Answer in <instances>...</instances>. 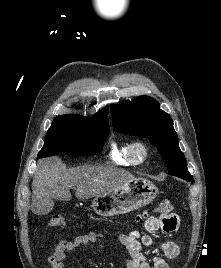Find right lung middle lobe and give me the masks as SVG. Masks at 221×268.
Here are the masks:
<instances>
[{
    "mask_svg": "<svg viewBox=\"0 0 221 268\" xmlns=\"http://www.w3.org/2000/svg\"><path fill=\"white\" fill-rule=\"evenodd\" d=\"M109 133V126L85 120L57 116L45 136L39 158L67 152L75 155H96L102 149Z\"/></svg>",
    "mask_w": 221,
    "mask_h": 268,
    "instance_id": "1",
    "label": "right lung middle lobe"
}]
</instances>
